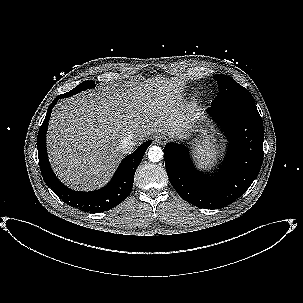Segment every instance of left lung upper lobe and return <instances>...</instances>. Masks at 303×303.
I'll return each mask as SVG.
<instances>
[{
	"label": "left lung upper lobe",
	"instance_id": "5c2ea615",
	"mask_svg": "<svg viewBox=\"0 0 303 303\" xmlns=\"http://www.w3.org/2000/svg\"><path fill=\"white\" fill-rule=\"evenodd\" d=\"M213 78L217 81L219 93L212 101V105L225 103H255L250 92L239 85L233 78L216 74Z\"/></svg>",
	"mask_w": 303,
	"mask_h": 303
}]
</instances>
